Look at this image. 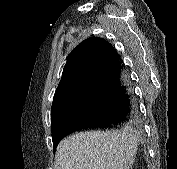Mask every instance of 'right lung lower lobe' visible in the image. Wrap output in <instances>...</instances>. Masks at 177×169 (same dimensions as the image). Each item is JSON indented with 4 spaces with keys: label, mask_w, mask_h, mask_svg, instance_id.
I'll return each mask as SVG.
<instances>
[{
    "label": "right lung lower lobe",
    "mask_w": 177,
    "mask_h": 169,
    "mask_svg": "<svg viewBox=\"0 0 177 169\" xmlns=\"http://www.w3.org/2000/svg\"><path fill=\"white\" fill-rule=\"evenodd\" d=\"M90 99L74 116L64 118L53 135V148L68 134L88 128H113L138 116V107L128 72L119 56L88 81Z\"/></svg>",
    "instance_id": "98d812e1"
}]
</instances>
